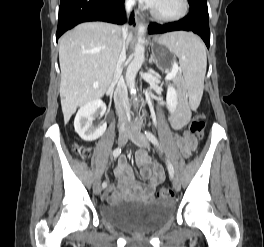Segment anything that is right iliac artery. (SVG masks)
Returning <instances> with one entry per match:
<instances>
[{
	"instance_id": "obj_1",
	"label": "right iliac artery",
	"mask_w": 264,
	"mask_h": 247,
	"mask_svg": "<svg viewBox=\"0 0 264 247\" xmlns=\"http://www.w3.org/2000/svg\"><path fill=\"white\" fill-rule=\"evenodd\" d=\"M120 153H121V148H116L114 151H113V156H114V158H117L119 155H120ZM102 187L103 188H106L107 187V182H103L102 183Z\"/></svg>"
}]
</instances>
